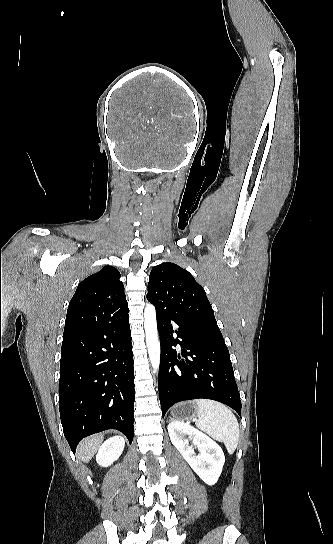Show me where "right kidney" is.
<instances>
[{
	"label": "right kidney",
	"mask_w": 333,
	"mask_h": 544,
	"mask_svg": "<svg viewBox=\"0 0 333 544\" xmlns=\"http://www.w3.org/2000/svg\"><path fill=\"white\" fill-rule=\"evenodd\" d=\"M125 441L121 436L107 439L99 448L96 462L101 467H108L116 461L123 452Z\"/></svg>",
	"instance_id": "right-kidney-1"
}]
</instances>
